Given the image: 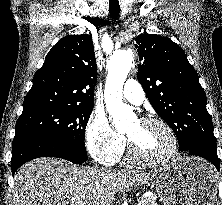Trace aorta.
<instances>
[{
    "instance_id": "obj_1",
    "label": "aorta",
    "mask_w": 222,
    "mask_h": 205,
    "mask_svg": "<svg viewBox=\"0 0 222 205\" xmlns=\"http://www.w3.org/2000/svg\"><path fill=\"white\" fill-rule=\"evenodd\" d=\"M133 64V57L126 50L115 52L107 62L108 75L105 83L104 98L109 117L117 131H124L135 118L130 106L123 103V85Z\"/></svg>"
}]
</instances>
